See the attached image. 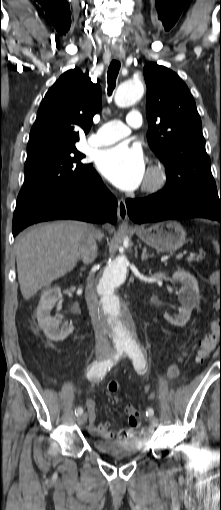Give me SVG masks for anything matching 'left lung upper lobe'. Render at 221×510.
Here are the masks:
<instances>
[{"instance_id": "1", "label": "left lung upper lobe", "mask_w": 221, "mask_h": 510, "mask_svg": "<svg viewBox=\"0 0 221 510\" xmlns=\"http://www.w3.org/2000/svg\"><path fill=\"white\" fill-rule=\"evenodd\" d=\"M143 73L147 85V139L167 174L166 185L159 192L167 196H218L201 119L186 84L176 73L156 63H148Z\"/></svg>"}]
</instances>
